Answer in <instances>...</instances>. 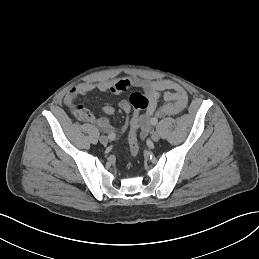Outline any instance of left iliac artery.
<instances>
[{"mask_svg":"<svg viewBox=\"0 0 259 259\" xmlns=\"http://www.w3.org/2000/svg\"><path fill=\"white\" fill-rule=\"evenodd\" d=\"M157 122H158V119H157V118H152L151 123H152L153 125H156Z\"/></svg>","mask_w":259,"mask_h":259,"instance_id":"1","label":"left iliac artery"}]
</instances>
